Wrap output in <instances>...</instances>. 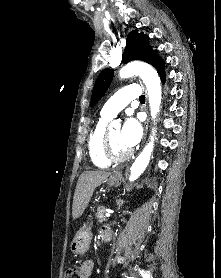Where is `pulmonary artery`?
<instances>
[{
  "label": "pulmonary artery",
  "mask_w": 221,
  "mask_h": 278,
  "mask_svg": "<svg viewBox=\"0 0 221 278\" xmlns=\"http://www.w3.org/2000/svg\"><path fill=\"white\" fill-rule=\"evenodd\" d=\"M141 90L138 85L130 84L120 89L113 95L103 106L101 115L105 118L111 119L118 112H120L133 99L140 97Z\"/></svg>",
  "instance_id": "obj_1"
}]
</instances>
